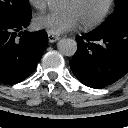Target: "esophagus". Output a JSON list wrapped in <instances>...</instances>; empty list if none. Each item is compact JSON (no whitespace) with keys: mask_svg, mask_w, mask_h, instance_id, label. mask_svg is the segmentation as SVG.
I'll return each instance as SVG.
<instances>
[{"mask_svg":"<svg viewBox=\"0 0 128 128\" xmlns=\"http://www.w3.org/2000/svg\"><path fill=\"white\" fill-rule=\"evenodd\" d=\"M60 38L58 36H55L53 34H48V40L50 43H54L56 41H58Z\"/></svg>","mask_w":128,"mask_h":128,"instance_id":"34e87169","label":"esophagus"}]
</instances>
